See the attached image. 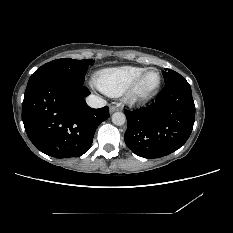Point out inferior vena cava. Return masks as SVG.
Segmentation results:
<instances>
[{
	"label": "inferior vena cava",
	"instance_id": "obj_1",
	"mask_svg": "<svg viewBox=\"0 0 233 233\" xmlns=\"http://www.w3.org/2000/svg\"><path fill=\"white\" fill-rule=\"evenodd\" d=\"M86 102L92 108H101L106 105V101L97 95H89Z\"/></svg>",
	"mask_w": 233,
	"mask_h": 233
}]
</instances>
